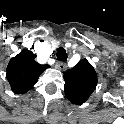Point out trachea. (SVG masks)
I'll use <instances>...</instances> for the list:
<instances>
[{
  "mask_svg": "<svg viewBox=\"0 0 124 124\" xmlns=\"http://www.w3.org/2000/svg\"><path fill=\"white\" fill-rule=\"evenodd\" d=\"M57 58L59 61L64 62L67 60L66 51L63 48H59L57 51Z\"/></svg>",
  "mask_w": 124,
  "mask_h": 124,
  "instance_id": "trachea-1",
  "label": "trachea"
}]
</instances>
